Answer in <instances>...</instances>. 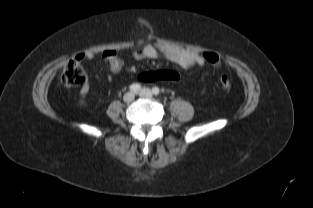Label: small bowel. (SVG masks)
Segmentation results:
<instances>
[{"mask_svg":"<svg viewBox=\"0 0 313 208\" xmlns=\"http://www.w3.org/2000/svg\"><path fill=\"white\" fill-rule=\"evenodd\" d=\"M134 60L157 59L164 58L183 69H190L194 66H202L205 60L201 54L190 52L187 50L169 48L158 44H148L133 52ZM93 53H86L78 57V60H92ZM101 60L109 64L112 72H118L123 66V59L115 50L104 51L101 55ZM89 91V85L85 84L79 91V102L81 105H86L85 97Z\"/></svg>","mask_w":313,"mask_h":208,"instance_id":"c3829d8e","label":"small bowel"}]
</instances>
